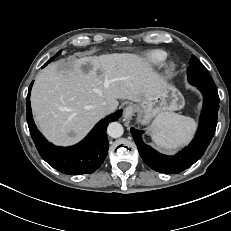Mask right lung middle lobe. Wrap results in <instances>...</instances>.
I'll return each instance as SVG.
<instances>
[{
  "label": "right lung middle lobe",
  "instance_id": "obj_1",
  "mask_svg": "<svg viewBox=\"0 0 231 231\" xmlns=\"http://www.w3.org/2000/svg\"><path fill=\"white\" fill-rule=\"evenodd\" d=\"M62 50H60L54 57H52L44 66H46L48 63H50L55 57H57Z\"/></svg>",
  "mask_w": 231,
  "mask_h": 231
}]
</instances>
